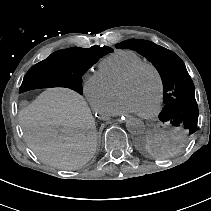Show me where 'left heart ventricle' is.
Returning <instances> with one entry per match:
<instances>
[{"label": "left heart ventricle", "instance_id": "obj_1", "mask_svg": "<svg viewBox=\"0 0 211 211\" xmlns=\"http://www.w3.org/2000/svg\"><path fill=\"white\" fill-rule=\"evenodd\" d=\"M116 92L126 99L137 113L150 111L158 97V81L150 68L141 69L129 82L119 85Z\"/></svg>", "mask_w": 211, "mask_h": 211}]
</instances>
